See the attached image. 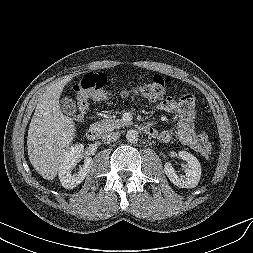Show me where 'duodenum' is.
Wrapping results in <instances>:
<instances>
[{
  "instance_id": "1",
  "label": "duodenum",
  "mask_w": 253,
  "mask_h": 253,
  "mask_svg": "<svg viewBox=\"0 0 253 253\" xmlns=\"http://www.w3.org/2000/svg\"><path fill=\"white\" fill-rule=\"evenodd\" d=\"M142 131L146 134H152L153 133V129L148 125H142ZM99 136H100L99 127L97 125H91L88 128V131H87V138L90 141H95L99 138Z\"/></svg>"
}]
</instances>
